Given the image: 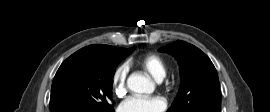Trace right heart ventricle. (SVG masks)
Segmentation results:
<instances>
[{
	"mask_svg": "<svg viewBox=\"0 0 270 112\" xmlns=\"http://www.w3.org/2000/svg\"><path fill=\"white\" fill-rule=\"evenodd\" d=\"M136 64L156 81H161L167 72L165 60L156 53H149L138 58Z\"/></svg>",
	"mask_w": 270,
	"mask_h": 112,
	"instance_id": "e07e8e85",
	"label": "right heart ventricle"
}]
</instances>
